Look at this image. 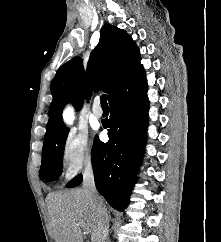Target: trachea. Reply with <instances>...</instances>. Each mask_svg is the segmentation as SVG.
Listing matches in <instances>:
<instances>
[{
	"label": "trachea",
	"instance_id": "trachea-1",
	"mask_svg": "<svg viewBox=\"0 0 221 242\" xmlns=\"http://www.w3.org/2000/svg\"><path fill=\"white\" fill-rule=\"evenodd\" d=\"M101 106H108L106 94L101 95Z\"/></svg>",
	"mask_w": 221,
	"mask_h": 242
}]
</instances>
